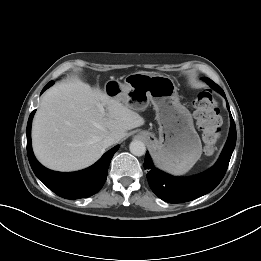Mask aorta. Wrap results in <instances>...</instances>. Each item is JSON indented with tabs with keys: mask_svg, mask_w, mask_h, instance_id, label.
Wrapping results in <instances>:
<instances>
[{
	"mask_svg": "<svg viewBox=\"0 0 261 261\" xmlns=\"http://www.w3.org/2000/svg\"><path fill=\"white\" fill-rule=\"evenodd\" d=\"M130 152L135 156H142L146 152L145 144L140 140H133L129 146Z\"/></svg>",
	"mask_w": 261,
	"mask_h": 261,
	"instance_id": "762f6f07",
	"label": "aorta"
}]
</instances>
